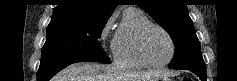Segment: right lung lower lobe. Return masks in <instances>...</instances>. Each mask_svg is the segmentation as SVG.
Instances as JSON below:
<instances>
[{
    "label": "right lung lower lobe",
    "instance_id": "obj_1",
    "mask_svg": "<svg viewBox=\"0 0 237 81\" xmlns=\"http://www.w3.org/2000/svg\"><path fill=\"white\" fill-rule=\"evenodd\" d=\"M95 61L109 64L110 62L92 56L46 57L41 59L37 73V81H49L56 73L76 62Z\"/></svg>",
    "mask_w": 237,
    "mask_h": 81
}]
</instances>
